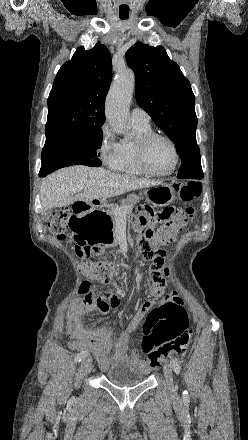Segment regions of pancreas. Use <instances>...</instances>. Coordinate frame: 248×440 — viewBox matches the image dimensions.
<instances>
[{"label":"pancreas","mask_w":248,"mask_h":440,"mask_svg":"<svg viewBox=\"0 0 248 440\" xmlns=\"http://www.w3.org/2000/svg\"><path fill=\"white\" fill-rule=\"evenodd\" d=\"M139 202V197L135 194H130L126 199L121 201L120 205H113L108 210L107 213L112 217L113 221L116 222L118 216L116 215L117 210H126V215L132 212L133 207Z\"/></svg>","instance_id":"pancreas-1"}]
</instances>
